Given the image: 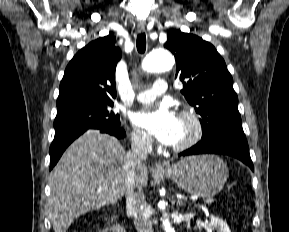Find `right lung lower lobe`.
Returning <instances> with one entry per match:
<instances>
[{
  "instance_id": "obj_1",
  "label": "right lung lower lobe",
  "mask_w": 289,
  "mask_h": 232,
  "mask_svg": "<svg viewBox=\"0 0 289 232\" xmlns=\"http://www.w3.org/2000/svg\"><path fill=\"white\" fill-rule=\"evenodd\" d=\"M99 130L102 133H108L118 139L125 137V131L120 126L103 127V128H72L55 132L54 140L50 146V170L58 162L65 149L81 134L87 130Z\"/></svg>"
}]
</instances>
